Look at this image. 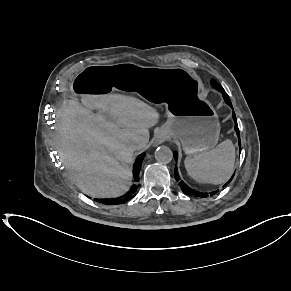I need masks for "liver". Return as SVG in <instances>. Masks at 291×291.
Wrapping results in <instances>:
<instances>
[{"instance_id":"obj_1","label":"liver","mask_w":291,"mask_h":291,"mask_svg":"<svg viewBox=\"0 0 291 291\" xmlns=\"http://www.w3.org/2000/svg\"><path fill=\"white\" fill-rule=\"evenodd\" d=\"M81 102L65 101L57 115L60 159L85 194L120 196L131 184L130 145L147 147L149 128L158 123L159 114L147 103L121 94L81 96Z\"/></svg>"}]
</instances>
